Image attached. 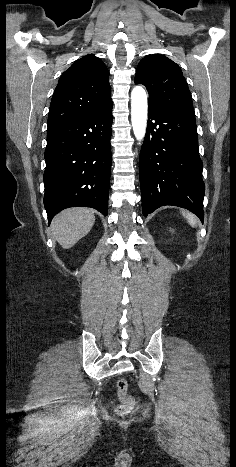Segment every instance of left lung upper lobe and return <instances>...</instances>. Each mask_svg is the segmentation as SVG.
<instances>
[{"label": "left lung upper lobe", "mask_w": 236, "mask_h": 467, "mask_svg": "<svg viewBox=\"0 0 236 467\" xmlns=\"http://www.w3.org/2000/svg\"><path fill=\"white\" fill-rule=\"evenodd\" d=\"M135 83L147 88L149 106L194 110L180 67L165 56L152 54L144 57L138 64Z\"/></svg>", "instance_id": "5c2ea615"}]
</instances>
